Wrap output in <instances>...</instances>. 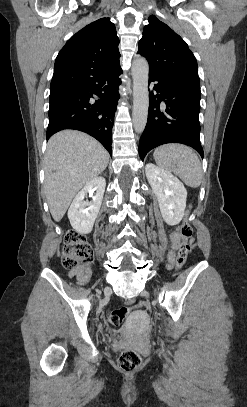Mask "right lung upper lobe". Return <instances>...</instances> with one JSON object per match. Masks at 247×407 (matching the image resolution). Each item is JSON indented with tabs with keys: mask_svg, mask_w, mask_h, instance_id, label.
<instances>
[{
	"mask_svg": "<svg viewBox=\"0 0 247 407\" xmlns=\"http://www.w3.org/2000/svg\"><path fill=\"white\" fill-rule=\"evenodd\" d=\"M118 45L119 38L110 18L85 26L60 50L50 90L80 88L93 75L118 66Z\"/></svg>",
	"mask_w": 247,
	"mask_h": 407,
	"instance_id": "cb5924a9",
	"label": "right lung upper lobe"
}]
</instances>
